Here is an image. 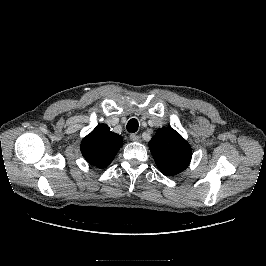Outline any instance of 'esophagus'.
<instances>
[{"instance_id": "1", "label": "esophagus", "mask_w": 266, "mask_h": 266, "mask_svg": "<svg viewBox=\"0 0 266 266\" xmlns=\"http://www.w3.org/2000/svg\"><path fill=\"white\" fill-rule=\"evenodd\" d=\"M130 139L133 142H140V140H141L140 136H138V135H136L134 133L130 134Z\"/></svg>"}]
</instances>
